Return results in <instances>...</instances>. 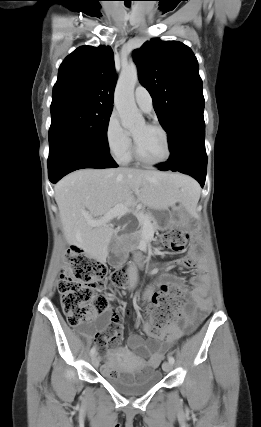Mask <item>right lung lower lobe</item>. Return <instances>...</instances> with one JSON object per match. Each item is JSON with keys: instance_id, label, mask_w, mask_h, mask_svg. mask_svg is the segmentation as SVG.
<instances>
[{"instance_id": "98d812e1", "label": "right lung lower lobe", "mask_w": 261, "mask_h": 427, "mask_svg": "<svg viewBox=\"0 0 261 427\" xmlns=\"http://www.w3.org/2000/svg\"><path fill=\"white\" fill-rule=\"evenodd\" d=\"M118 165L110 153L91 151L83 148L65 147L49 152V180L56 183L68 173L83 168H111Z\"/></svg>"}]
</instances>
